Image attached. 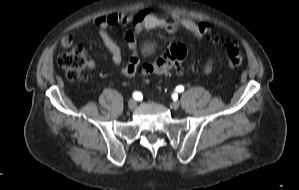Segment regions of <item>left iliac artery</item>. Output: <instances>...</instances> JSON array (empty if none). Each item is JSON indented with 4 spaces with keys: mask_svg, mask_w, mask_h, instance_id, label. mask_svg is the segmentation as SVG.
<instances>
[{
    "mask_svg": "<svg viewBox=\"0 0 299 190\" xmlns=\"http://www.w3.org/2000/svg\"><path fill=\"white\" fill-rule=\"evenodd\" d=\"M176 91L177 92H183L184 91V87L182 85H179L176 87Z\"/></svg>",
    "mask_w": 299,
    "mask_h": 190,
    "instance_id": "1",
    "label": "left iliac artery"
}]
</instances>
